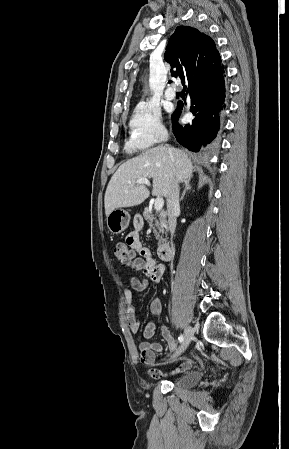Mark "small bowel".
Returning a JSON list of instances; mask_svg holds the SVG:
<instances>
[{
  "instance_id": "obj_1",
  "label": "small bowel",
  "mask_w": 289,
  "mask_h": 449,
  "mask_svg": "<svg viewBox=\"0 0 289 449\" xmlns=\"http://www.w3.org/2000/svg\"><path fill=\"white\" fill-rule=\"evenodd\" d=\"M143 228V221L141 218L136 217L133 221V230L126 236V243L135 251L140 254V257H136L131 263L126 265L130 269L140 271L142 277H130L128 279V286L124 287V298L126 302V317L131 332L137 333L140 329V322L136 315L135 308L132 305V290L141 292L146 289L149 281L153 283H159L164 275L165 267L163 264L158 263L152 256L151 251L143 246L140 240V232ZM162 312V302L159 298H154L150 303V314L153 317L160 315ZM156 331L155 321H149L143 330L144 341L140 342L138 348L140 353L141 362L146 366H152L156 359V354L163 351V347L160 343L152 341ZM161 335L166 341L170 349L176 348L174 338L171 336L166 326L161 327ZM194 362L185 361L179 368L175 370V373L184 372L191 368ZM151 374L155 377L160 375V372L152 371Z\"/></svg>"
}]
</instances>
